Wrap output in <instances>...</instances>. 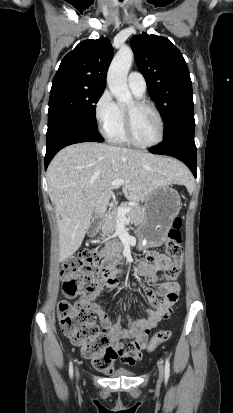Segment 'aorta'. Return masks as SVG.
I'll list each match as a JSON object with an SVG mask.
<instances>
[{
    "instance_id": "aorta-1",
    "label": "aorta",
    "mask_w": 233,
    "mask_h": 413,
    "mask_svg": "<svg viewBox=\"0 0 233 413\" xmlns=\"http://www.w3.org/2000/svg\"><path fill=\"white\" fill-rule=\"evenodd\" d=\"M134 58L131 48L119 49L113 58L108 73L107 85L119 104H130L132 94L127 85V75Z\"/></svg>"
}]
</instances>
